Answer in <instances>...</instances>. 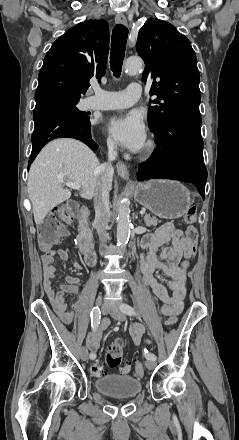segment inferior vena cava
<instances>
[{
	"mask_svg": "<svg viewBox=\"0 0 239 440\" xmlns=\"http://www.w3.org/2000/svg\"><path fill=\"white\" fill-rule=\"evenodd\" d=\"M108 162L101 164L97 168L99 180L95 188L94 208H95V226L101 242H107L108 234H106L108 222L110 220L109 208V192L112 186V178L114 168L111 164L117 158V146L115 142L108 138ZM102 307H115L112 302H103Z\"/></svg>",
	"mask_w": 239,
	"mask_h": 440,
	"instance_id": "inferior-vena-cava-1",
	"label": "inferior vena cava"
}]
</instances>
